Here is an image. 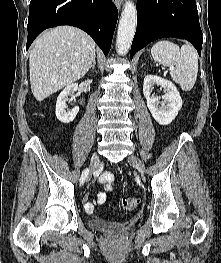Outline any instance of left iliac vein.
Instances as JSON below:
<instances>
[{"mask_svg":"<svg viewBox=\"0 0 221 263\" xmlns=\"http://www.w3.org/2000/svg\"><path fill=\"white\" fill-rule=\"evenodd\" d=\"M128 162L135 167L141 174L144 173L145 167L142 161L134 155L128 157Z\"/></svg>","mask_w":221,"mask_h":263,"instance_id":"left-iliac-vein-1","label":"left iliac vein"}]
</instances>
